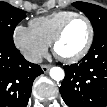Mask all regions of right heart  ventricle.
I'll return each instance as SVG.
<instances>
[{
    "label": "right heart ventricle",
    "mask_w": 107,
    "mask_h": 107,
    "mask_svg": "<svg viewBox=\"0 0 107 107\" xmlns=\"http://www.w3.org/2000/svg\"><path fill=\"white\" fill-rule=\"evenodd\" d=\"M75 14L77 13L74 11H57L47 16L32 19L30 28L43 42L50 45L62 23Z\"/></svg>",
    "instance_id": "obj_1"
}]
</instances>
